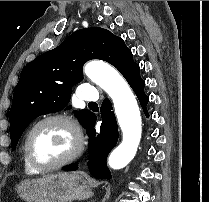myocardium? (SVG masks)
I'll use <instances>...</instances> for the list:
<instances>
[{"label":"myocardium","mask_w":209,"mask_h":202,"mask_svg":"<svg viewBox=\"0 0 209 202\" xmlns=\"http://www.w3.org/2000/svg\"><path fill=\"white\" fill-rule=\"evenodd\" d=\"M59 122L63 125H65L73 134L74 136V146L72 150L69 152L68 155L61 158L60 160L51 163V164H40L37 161H35L32 157L31 151H30V140L33 135V133L36 131L38 127L41 125L48 123V122ZM84 135L83 131L78 124V122L72 118L71 116H68L66 114L62 113H54L46 115L39 120H37L28 130L24 142H23V153L25 155V158L27 162L37 171H51L60 169L69 163L75 161L83 152L84 149Z\"/></svg>","instance_id":"obj_1"}]
</instances>
